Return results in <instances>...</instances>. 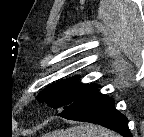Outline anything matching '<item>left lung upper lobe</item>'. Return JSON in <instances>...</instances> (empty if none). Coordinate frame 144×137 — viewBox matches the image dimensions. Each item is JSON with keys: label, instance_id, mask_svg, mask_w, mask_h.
<instances>
[{"label": "left lung upper lobe", "instance_id": "obj_1", "mask_svg": "<svg viewBox=\"0 0 144 137\" xmlns=\"http://www.w3.org/2000/svg\"><path fill=\"white\" fill-rule=\"evenodd\" d=\"M95 87H97L95 84L77 83V77H73L49 85L36 98L39 102H45L51 108L64 109L79 98L85 90Z\"/></svg>", "mask_w": 144, "mask_h": 137}]
</instances>
